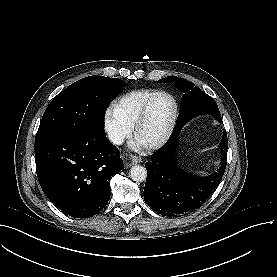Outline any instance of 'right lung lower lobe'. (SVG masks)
<instances>
[{
  "label": "right lung lower lobe",
  "instance_id": "1",
  "mask_svg": "<svg viewBox=\"0 0 277 277\" xmlns=\"http://www.w3.org/2000/svg\"><path fill=\"white\" fill-rule=\"evenodd\" d=\"M35 162L45 195L75 218L92 217L106 206L109 181L124 168L104 130L38 135Z\"/></svg>",
  "mask_w": 277,
  "mask_h": 277
}]
</instances>
